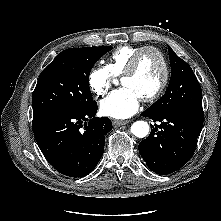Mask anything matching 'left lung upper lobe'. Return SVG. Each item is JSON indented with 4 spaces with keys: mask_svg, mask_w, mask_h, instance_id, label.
I'll return each mask as SVG.
<instances>
[{
    "mask_svg": "<svg viewBox=\"0 0 221 221\" xmlns=\"http://www.w3.org/2000/svg\"><path fill=\"white\" fill-rule=\"evenodd\" d=\"M171 79L165 94L146 111L162 114L175 111H203L202 91L191 67L169 47Z\"/></svg>",
    "mask_w": 221,
    "mask_h": 221,
    "instance_id": "5c2ea615",
    "label": "left lung upper lobe"
}]
</instances>
